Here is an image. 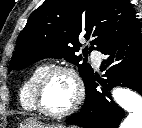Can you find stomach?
Instances as JSON below:
<instances>
[{
	"mask_svg": "<svg viewBox=\"0 0 142 128\" xmlns=\"http://www.w3.org/2000/svg\"><path fill=\"white\" fill-rule=\"evenodd\" d=\"M20 128H66L62 124H43L36 119H26Z\"/></svg>",
	"mask_w": 142,
	"mask_h": 128,
	"instance_id": "obj_1",
	"label": "stomach"
}]
</instances>
